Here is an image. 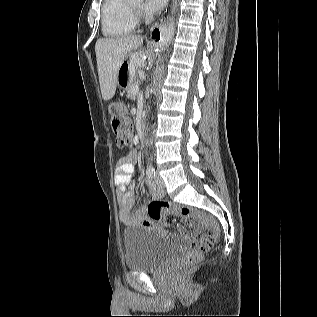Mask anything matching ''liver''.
Wrapping results in <instances>:
<instances>
[{
    "label": "liver",
    "instance_id": "liver-1",
    "mask_svg": "<svg viewBox=\"0 0 317 317\" xmlns=\"http://www.w3.org/2000/svg\"><path fill=\"white\" fill-rule=\"evenodd\" d=\"M143 38L136 35L101 38L95 44L100 89L105 101L113 98L116 92L118 72L132 50L139 49ZM151 49H147L149 54ZM137 65H144L143 56L136 53Z\"/></svg>",
    "mask_w": 317,
    "mask_h": 317
}]
</instances>
